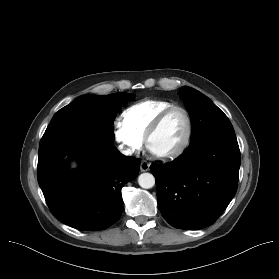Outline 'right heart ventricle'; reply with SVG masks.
<instances>
[{
  "instance_id": "obj_1",
  "label": "right heart ventricle",
  "mask_w": 279,
  "mask_h": 279,
  "mask_svg": "<svg viewBox=\"0 0 279 279\" xmlns=\"http://www.w3.org/2000/svg\"><path fill=\"white\" fill-rule=\"evenodd\" d=\"M172 105H174L172 102L162 99L142 100L123 111L121 115L122 123L141 139H144L156 116Z\"/></svg>"
}]
</instances>
